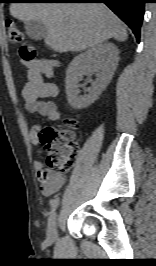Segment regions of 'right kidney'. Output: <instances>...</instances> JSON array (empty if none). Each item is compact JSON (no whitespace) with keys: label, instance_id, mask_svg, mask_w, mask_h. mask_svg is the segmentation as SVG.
<instances>
[{"label":"right kidney","instance_id":"obj_1","mask_svg":"<svg viewBox=\"0 0 156 266\" xmlns=\"http://www.w3.org/2000/svg\"><path fill=\"white\" fill-rule=\"evenodd\" d=\"M119 50L110 42L97 45L77 55L66 71L65 87L68 103L74 109L90 106L109 84L119 61ZM96 72V80L91 82L88 94L80 96L79 81L84 75Z\"/></svg>","mask_w":156,"mask_h":266}]
</instances>
